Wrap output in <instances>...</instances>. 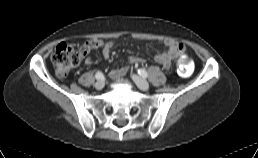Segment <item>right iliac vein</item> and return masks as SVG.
<instances>
[{"label":"right iliac vein","mask_w":258,"mask_h":158,"mask_svg":"<svg viewBox=\"0 0 258 158\" xmlns=\"http://www.w3.org/2000/svg\"><path fill=\"white\" fill-rule=\"evenodd\" d=\"M103 87H104V82H103L102 80H99V81H97V82L95 83V88H96L97 90H101V89H103Z\"/></svg>","instance_id":"63e3f726"}]
</instances>
